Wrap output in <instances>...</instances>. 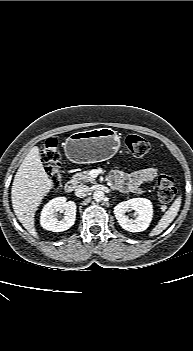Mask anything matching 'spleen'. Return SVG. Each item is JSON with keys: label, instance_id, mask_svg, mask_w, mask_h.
Segmentation results:
<instances>
[{"label": "spleen", "instance_id": "1", "mask_svg": "<svg viewBox=\"0 0 193 351\" xmlns=\"http://www.w3.org/2000/svg\"><path fill=\"white\" fill-rule=\"evenodd\" d=\"M180 205L181 197L179 196L175 199L170 208L165 212V214L159 220L158 224L152 229L149 236L159 235L161 232H163V230H165L177 216Z\"/></svg>", "mask_w": 193, "mask_h": 351}]
</instances>
